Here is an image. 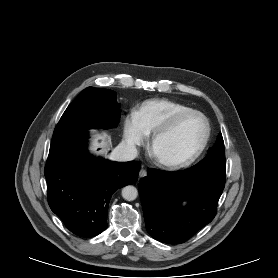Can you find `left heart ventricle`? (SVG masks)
<instances>
[{"label":"left heart ventricle","mask_w":278,"mask_h":278,"mask_svg":"<svg viewBox=\"0 0 278 278\" xmlns=\"http://www.w3.org/2000/svg\"><path fill=\"white\" fill-rule=\"evenodd\" d=\"M205 134L204 120L197 115L183 119L179 125L156 145V153L164 159H182L191 155Z\"/></svg>","instance_id":"b2bd125f"}]
</instances>
